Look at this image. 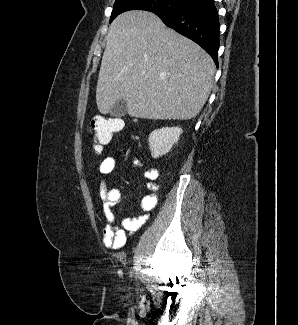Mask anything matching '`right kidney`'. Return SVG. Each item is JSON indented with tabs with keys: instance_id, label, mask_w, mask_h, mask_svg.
I'll return each mask as SVG.
<instances>
[{
	"instance_id": "1",
	"label": "right kidney",
	"mask_w": 298,
	"mask_h": 325,
	"mask_svg": "<svg viewBox=\"0 0 298 325\" xmlns=\"http://www.w3.org/2000/svg\"><path fill=\"white\" fill-rule=\"evenodd\" d=\"M182 132L183 128L181 126H163V128L152 130L148 138L151 156L158 158V156L170 152L173 144L179 140Z\"/></svg>"
}]
</instances>
